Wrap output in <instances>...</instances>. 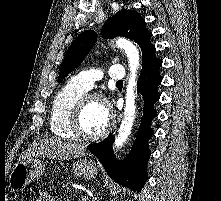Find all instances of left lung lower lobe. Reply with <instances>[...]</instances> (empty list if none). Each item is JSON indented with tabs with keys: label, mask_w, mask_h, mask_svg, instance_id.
<instances>
[{
	"label": "left lung lower lobe",
	"mask_w": 221,
	"mask_h": 201,
	"mask_svg": "<svg viewBox=\"0 0 221 201\" xmlns=\"http://www.w3.org/2000/svg\"><path fill=\"white\" fill-rule=\"evenodd\" d=\"M161 66L162 61L154 57L141 70L137 89L144 98L143 116L136 140L128 156L122 161L115 158L112 151L113 135L87 147L102 162L113 180L133 191L140 192L147 180L146 164L150 157L148 141L154 133L150 122L157 116L154 103L160 98L157 87L162 81L159 73Z\"/></svg>",
	"instance_id": "obj_1"
}]
</instances>
